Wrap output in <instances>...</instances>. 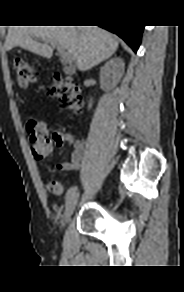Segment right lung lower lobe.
<instances>
[{
    "instance_id": "98d812e1",
    "label": "right lung lower lobe",
    "mask_w": 184,
    "mask_h": 292,
    "mask_svg": "<svg viewBox=\"0 0 184 292\" xmlns=\"http://www.w3.org/2000/svg\"><path fill=\"white\" fill-rule=\"evenodd\" d=\"M100 27L119 35L136 52L145 26L100 25Z\"/></svg>"
}]
</instances>
